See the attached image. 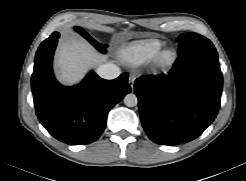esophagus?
<instances>
[{"label": "esophagus", "mask_w": 246, "mask_h": 181, "mask_svg": "<svg viewBox=\"0 0 246 181\" xmlns=\"http://www.w3.org/2000/svg\"><path fill=\"white\" fill-rule=\"evenodd\" d=\"M134 81H135V77L133 75H130L128 79V83L130 84V87L132 89L134 88Z\"/></svg>", "instance_id": "esophagus-1"}]
</instances>
